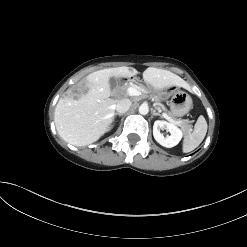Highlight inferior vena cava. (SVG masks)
Returning a JSON list of instances; mask_svg holds the SVG:
<instances>
[{
  "instance_id": "602c4592",
  "label": "inferior vena cava",
  "mask_w": 247,
  "mask_h": 247,
  "mask_svg": "<svg viewBox=\"0 0 247 247\" xmlns=\"http://www.w3.org/2000/svg\"><path fill=\"white\" fill-rule=\"evenodd\" d=\"M131 101L129 99H121L117 101L115 109L118 113L123 114L129 110L131 107Z\"/></svg>"
}]
</instances>
